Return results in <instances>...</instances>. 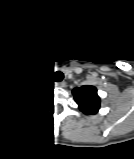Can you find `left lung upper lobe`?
Segmentation results:
<instances>
[{
	"instance_id": "5c2ea615",
	"label": "left lung upper lobe",
	"mask_w": 134,
	"mask_h": 159,
	"mask_svg": "<svg viewBox=\"0 0 134 159\" xmlns=\"http://www.w3.org/2000/svg\"><path fill=\"white\" fill-rule=\"evenodd\" d=\"M73 95L80 110L85 114H95L100 108V98L94 86H82L73 90Z\"/></svg>"
}]
</instances>
